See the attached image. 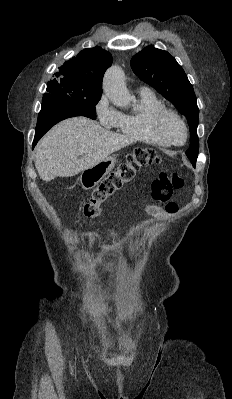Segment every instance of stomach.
<instances>
[{
  "mask_svg": "<svg viewBox=\"0 0 232 399\" xmlns=\"http://www.w3.org/2000/svg\"><path fill=\"white\" fill-rule=\"evenodd\" d=\"M116 164L115 158L112 156H107L104 158L102 162L96 164V166H92L89 170H83L80 176V182L82 188L84 190H91V188H95L107 174H110L111 170H113Z\"/></svg>",
  "mask_w": 232,
  "mask_h": 399,
  "instance_id": "obj_1",
  "label": "stomach"
}]
</instances>
